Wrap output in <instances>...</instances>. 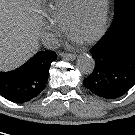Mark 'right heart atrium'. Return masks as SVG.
<instances>
[{
  "instance_id": "obj_1",
  "label": "right heart atrium",
  "mask_w": 135,
  "mask_h": 135,
  "mask_svg": "<svg viewBox=\"0 0 135 135\" xmlns=\"http://www.w3.org/2000/svg\"><path fill=\"white\" fill-rule=\"evenodd\" d=\"M45 28L46 30L50 31L55 37H58L61 34L59 26L52 21L45 22Z\"/></svg>"
}]
</instances>
